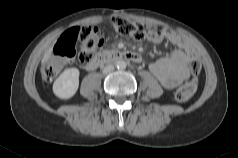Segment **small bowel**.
<instances>
[{
  "mask_svg": "<svg viewBox=\"0 0 238 158\" xmlns=\"http://www.w3.org/2000/svg\"><path fill=\"white\" fill-rule=\"evenodd\" d=\"M154 43L167 41L175 46L169 56L162 57L149 65L152 74L167 89H174L189 77L188 64L196 58L195 50L176 32L163 29L150 39Z\"/></svg>",
  "mask_w": 238,
  "mask_h": 158,
  "instance_id": "small-bowel-1",
  "label": "small bowel"
}]
</instances>
